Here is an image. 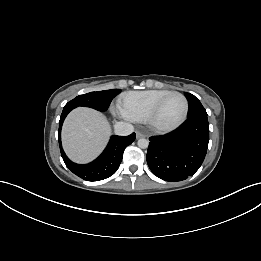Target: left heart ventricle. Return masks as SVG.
I'll return each instance as SVG.
<instances>
[{
    "instance_id": "obj_1",
    "label": "left heart ventricle",
    "mask_w": 261,
    "mask_h": 261,
    "mask_svg": "<svg viewBox=\"0 0 261 261\" xmlns=\"http://www.w3.org/2000/svg\"><path fill=\"white\" fill-rule=\"evenodd\" d=\"M184 102L181 97L172 95L168 97L160 106L155 123L159 126H169L176 123L182 116Z\"/></svg>"
}]
</instances>
